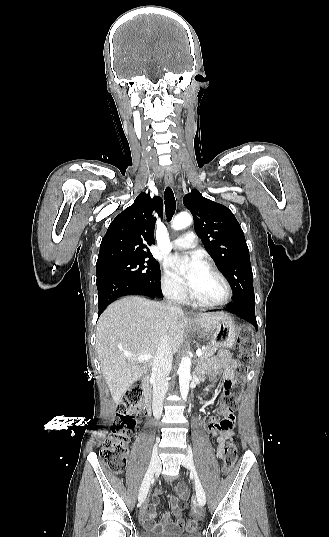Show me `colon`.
<instances>
[{"mask_svg":"<svg viewBox=\"0 0 329 537\" xmlns=\"http://www.w3.org/2000/svg\"><path fill=\"white\" fill-rule=\"evenodd\" d=\"M238 373L230 392L222 394L218 413L223 420L217 425L222 431L234 428L233 412L238 406L240 394L245 387L246 377L254 359V336L251 330H243L239 336ZM142 391L139 387H133L121 397L111 433L104 441L100 458L102 462L114 472H122L127 463V454L131 434L139 423V415L142 409ZM225 457L223 472L228 474L235 465L237 447L231 438L225 445ZM186 530L192 534L198 531V521L188 519L184 522Z\"/></svg>","mask_w":329,"mask_h":537,"instance_id":"1","label":"colon"}]
</instances>
